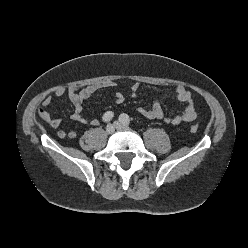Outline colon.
<instances>
[{"label":"colon","instance_id":"5ec220e1","mask_svg":"<svg viewBox=\"0 0 248 248\" xmlns=\"http://www.w3.org/2000/svg\"><path fill=\"white\" fill-rule=\"evenodd\" d=\"M190 131L192 133H196L198 131V126L196 124H193L190 126Z\"/></svg>","mask_w":248,"mask_h":248}]
</instances>
